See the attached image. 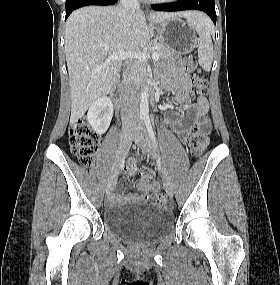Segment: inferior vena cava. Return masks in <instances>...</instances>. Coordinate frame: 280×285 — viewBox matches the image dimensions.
I'll return each instance as SVG.
<instances>
[{
  "label": "inferior vena cava",
  "mask_w": 280,
  "mask_h": 285,
  "mask_svg": "<svg viewBox=\"0 0 280 285\" xmlns=\"http://www.w3.org/2000/svg\"><path fill=\"white\" fill-rule=\"evenodd\" d=\"M121 6L126 11L139 10L140 5L138 0H120ZM138 93L132 83H129L125 89L122 99L121 118L123 126L135 124L138 120Z\"/></svg>",
  "instance_id": "602c4592"
}]
</instances>
